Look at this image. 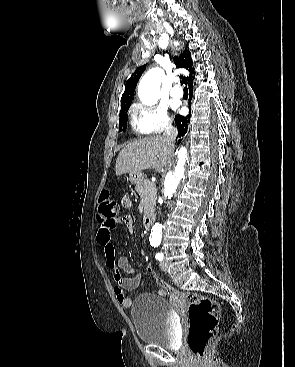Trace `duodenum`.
Wrapping results in <instances>:
<instances>
[{
  "instance_id": "duodenum-1",
  "label": "duodenum",
  "mask_w": 295,
  "mask_h": 367,
  "mask_svg": "<svg viewBox=\"0 0 295 367\" xmlns=\"http://www.w3.org/2000/svg\"><path fill=\"white\" fill-rule=\"evenodd\" d=\"M154 221V216L152 214H146L143 218V225L146 229H149Z\"/></svg>"
}]
</instances>
